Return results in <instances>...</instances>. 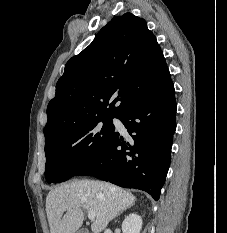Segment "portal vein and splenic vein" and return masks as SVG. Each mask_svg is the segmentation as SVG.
<instances>
[{
  "label": "portal vein and splenic vein",
  "mask_w": 227,
  "mask_h": 233,
  "mask_svg": "<svg viewBox=\"0 0 227 233\" xmlns=\"http://www.w3.org/2000/svg\"><path fill=\"white\" fill-rule=\"evenodd\" d=\"M88 218L90 220H94L95 219V213L94 212H88Z\"/></svg>",
  "instance_id": "18ae733b"
}]
</instances>
